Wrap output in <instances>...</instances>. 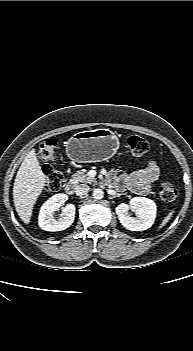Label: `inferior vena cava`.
I'll use <instances>...</instances> for the list:
<instances>
[{"mask_svg": "<svg viewBox=\"0 0 193 351\" xmlns=\"http://www.w3.org/2000/svg\"><path fill=\"white\" fill-rule=\"evenodd\" d=\"M90 190V187L86 184H80L76 186L75 188V193L77 196H84L86 195Z\"/></svg>", "mask_w": 193, "mask_h": 351, "instance_id": "inferior-vena-cava-1", "label": "inferior vena cava"}]
</instances>
